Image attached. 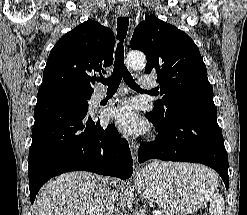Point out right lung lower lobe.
<instances>
[{"mask_svg": "<svg viewBox=\"0 0 247 215\" xmlns=\"http://www.w3.org/2000/svg\"><path fill=\"white\" fill-rule=\"evenodd\" d=\"M73 103L38 91L29 150L30 200L52 177L70 171H90L122 180L133 173L127 141L113 125L102 128L95 117Z\"/></svg>", "mask_w": 247, "mask_h": 215, "instance_id": "obj_1", "label": "right lung lower lobe"}]
</instances>
